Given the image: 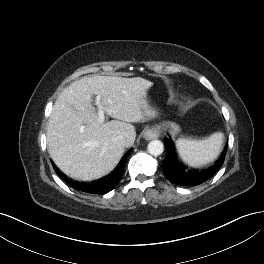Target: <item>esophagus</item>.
<instances>
[{"mask_svg": "<svg viewBox=\"0 0 264 264\" xmlns=\"http://www.w3.org/2000/svg\"><path fill=\"white\" fill-rule=\"evenodd\" d=\"M143 136L146 140L156 139L159 137V131L156 128H150L144 131Z\"/></svg>", "mask_w": 264, "mask_h": 264, "instance_id": "34e87169", "label": "esophagus"}]
</instances>
